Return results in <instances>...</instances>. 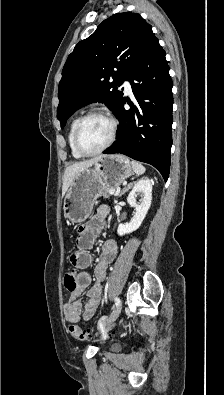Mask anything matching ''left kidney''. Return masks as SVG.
Listing matches in <instances>:
<instances>
[{
    "label": "left kidney",
    "instance_id": "5707ae66",
    "mask_svg": "<svg viewBox=\"0 0 224 395\" xmlns=\"http://www.w3.org/2000/svg\"><path fill=\"white\" fill-rule=\"evenodd\" d=\"M138 196H141L140 203H138L136 200ZM151 200L152 181L145 177L135 183L134 187L132 188L127 197V202L131 207L135 209L136 212L129 223L120 224L118 226V235L123 236L125 234L132 233L141 226L150 208Z\"/></svg>",
    "mask_w": 224,
    "mask_h": 395
}]
</instances>
